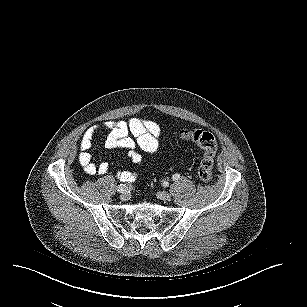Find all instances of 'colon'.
Segmentation results:
<instances>
[{"instance_id":"obj_1","label":"colon","mask_w":307,"mask_h":307,"mask_svg":"<svg viewBox=\"0 0 307 307\" xmlns=\"http://www.w3.org/2000/svg\"><path fill=\"white\" fill-rule=\"evenodd\" d=\"M179 137L185 141H189L197 145L203 152L198 176L203 182H210L213 179V165L217 154V141L215 137L207 131L194 129V130H181Z\"/></svg>"}]
</instances>
